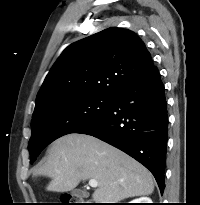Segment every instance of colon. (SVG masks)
I'll return each instance as SVG.
<instances>
[{"mask_svg": "<svg viewBox=\"0 0 200 205\" xmlns=\"http://www.w3.org/2000/svg\"><path fill=\"white\" fill-rule=\"evenodd\" d=\"M58 205H86L80 197L65 195L61 198Z\"/></svg>", "mask_w": 200, "mask_h": 205, "instance_id": "1", "label": "colon"}]
</instances>
